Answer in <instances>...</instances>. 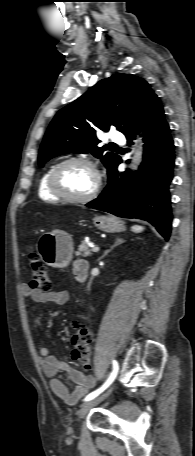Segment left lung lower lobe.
<instances>
[{"instance_id": "left-lung-lower-lobe-1", "label": "left lung lower lobe", "mask_w": 195, "mask_h": 456, "mask_svg": "<svg viewBox=\"0 0 195 456\" xmlns=\"http://www.w3.org/2000/svg\"><path fill=\"white\" fill-rule=\"evenodd\" d=\"M140 131L145 142L140 171L119 173L118 157L108 172V185L86 206L119 217L146 220L168 239L172 223L168 187L173 177L174 143L157 96L142 108L124 133L128 143Z\"/></svg>"}]
</instances>
